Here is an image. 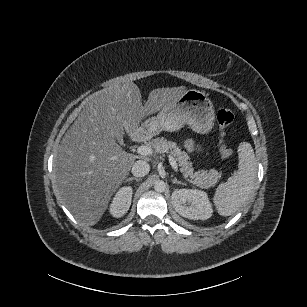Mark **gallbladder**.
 <instances>
[{
    "label": "gallbladder",
    "instance_id": "obj_1",
    "mask_svg": "<svg viewBox=\"0 0 307 307\" xmlns=\"http://www.w3.org/2000/svg\"><path fill=\"white\" fill-rule=\"evenodd\" d=\"M111 128L114 132V137L117 142H122L123 141V136H124V130L122 125L119 124V122L114 121L111 124Z\"/></svg>",
    "mask_w": 307,
    "mask_h": 307
}]
</instances>
